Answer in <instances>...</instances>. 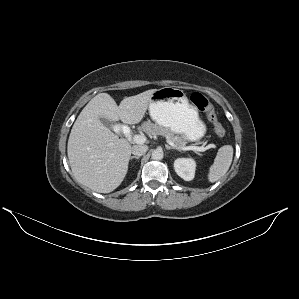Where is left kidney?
<instances>
[{"label":"left kidney","instance_id":"5707ae66","mask_svg":"<svg viewBox=\"0 0 299 299\" xmlns=\"http://www.w3.org/2000/svg\"><path fill=\"white\" fill-rule=\"evenodd\" d=\"M174 169L179 177L191 181L195 176L196 162L191 158H178L174 161Z\"/></svg>","mask_w":299,"mask_h":299}]
</instances>
